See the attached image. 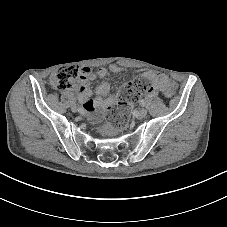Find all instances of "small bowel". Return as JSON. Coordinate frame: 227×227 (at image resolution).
Instances as JSON below:
<instances>
[{
	"label": "small bowel",
	"instance_id": "1",
	"mask_svg": "<svg viewBox=\"0 0 227 227\" xmlns=\"http://www.w3.org/2000/svg\"><path fill=\"white\" fill-rule=\"evenodd\" d=\"M109 69L112 72H123L125 69L117 64L110 65ZM108 70L101 68L97 72H94L89 67H84L81 71L80 80L76 91L79 96V100L83 104V109L88 114H93L97 110H103L110 106L114 99L112 97L105 98L110 92V85L107 82H103L96 87L89 86V81L96 78H104L107 75ZM151 83L149 93L159 91L166 97H171L177 90V84L164 74L157 72H148L144 75ZM93 96H95L93 98Z\"/></svg>",
	"mask_w": 227,
	"mask_h": 227
}]
</instances>
